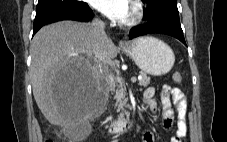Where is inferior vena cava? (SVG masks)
<instances>
[{
	"mask_svg": "<svg viewBox=\"0 0 227 142\" xmlns=\"http://www.w3.org/2000/svg\"><path fill=\"white\" fill-rule=\"evenodd\" d=\"M92 35L95 40H100L105 38L107 35L105 33V23L102 20L95 19L90 24Z\"/></svg>",
	"mask_w": 227,
	"mask_h": 142,
	"instance_id": "inferior-vena-cava-1",
	"label": "inferior vena cava"
}]
</instances>
